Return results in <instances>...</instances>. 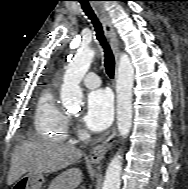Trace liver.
Returning <instances> with one entry per match:
<instances>
[{
	"instance_id": "1",
	"label": "liver",
	"mask_w": 188,
	"mask_h": 189,
	"mask_svg": "<svg viewBox=\"0 0 188 189\" xmlns=\"http://www.w3.org/2000/svg\"><path fill=\"white\" fill-rule=\"evenodd\" d=\"M83 152L71 144L55 142H23L15 147L7 184L15 183L26 172L53 173L75 163ZM61 189H74L82 182L79 168H70L60 176Z\"/></svg>"
}]
</instances>
